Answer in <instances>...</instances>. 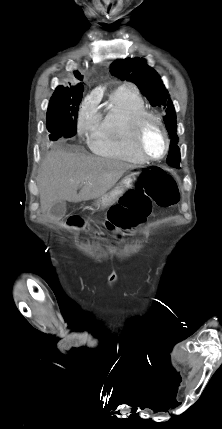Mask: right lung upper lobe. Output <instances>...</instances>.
Listing matches in <instances>:
<instances>
[{
	"label": "right lung upper lobe",
	"instance_id": "obj_1",
	"mask_svg": "<svg viewBox=\"0 0 222 429\" xmlns=\"http://www.w3.org/2000/svg\"><path fill=\"white\" fill-rule=\"evenodd\" d=\"M74 76L78 79V80H82L83 76L78 72V71H74ZM77 85H82L81 83L77 84ZM83 86V85H82ZM72 88H74V86L71 87H64V86H58L54 92V94H59V93H66L69 92L70 90H72Z\"/></svg>",
	"mask_w": 222,
	"mask_h": 429
}]
</instances>
